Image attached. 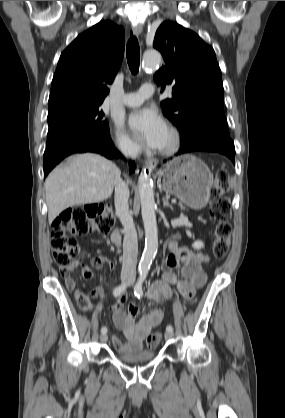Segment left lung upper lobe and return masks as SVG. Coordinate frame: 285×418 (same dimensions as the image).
<instances>
[{
  "label": "left lung upper lobe",
  "mask_w": 285,
  "mask_h": 418,
  "mask_svg": "<svg viewBox=\"0 0 285 418\" xmlns=\"http://www.w3.org/2000/svg\"><path fill=\"white\" fill-rule=\"evenodd\" d=\"M153 46L164 65L154 81L172 86V98L161 102L163 113L181 133V145L210 134L229 137L224 114L221 70L213 48L178 23L163 22Z\"/></svg>",
  "instance_id": "left-lung-upper-lobe-1"
}]
</instances>
